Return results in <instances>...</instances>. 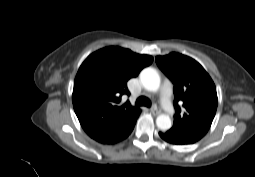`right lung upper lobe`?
I'll return each mask as SVG.
<instances>
[{"mask_svg": "<svg viewBox=\"0 0 255 177\" xmlns=\"http://www.w3.org/2000/svg\"><path fill=\"white\" fill-rule=\"evenodd\" d=\"M153 58L121 47H106L89 55L80 66L74 81L72 101L84 131L95 137L140 109L129 102L127 81L136 77Z\"/></svg>", "mask_w": 255, "mask_h": 177, "instance_id": "1", "label": "right lung upper lobe"}]
</instances>
